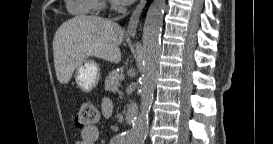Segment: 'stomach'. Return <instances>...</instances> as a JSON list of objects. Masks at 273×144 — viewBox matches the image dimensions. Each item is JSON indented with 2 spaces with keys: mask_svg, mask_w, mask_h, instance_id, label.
Here are the masks:
<instances>
[{
  "mask_svg": "<svg viewBox=\"0 0 273 144\" xmlns=\"http://www.w3.org/2000/svg\"><path fill=\"white\" fill-rule=\"evenodd\" d=\"M100 76L99 65L87 58L76 67L74 73L77 86L86 92L92 91L98 85Z\"/></svg>",
  "mask_w": 273,
  "mask_h": 144,
  "instance_id": "1",
  "label": "stomach"
}]
</instances>
